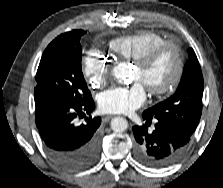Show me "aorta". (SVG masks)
<instances>
[{"instance_id":"762f6f07","label":"aorta","mask_w":223,"mask_h":188,"mask_svg":"<svg viewBox=\"0 0 223 188\" xmlns=\"http://www.w3.org/2000/svg\"><path fill=\"white\" fill-rule=\"evenodd\" d=\"M130 74V65L126 62H120L113 68V75L120 82H128ZM127 127L128 122L123 117H115L111 120V129L115 132H124Z\"/></svg>"}]
</instances>
